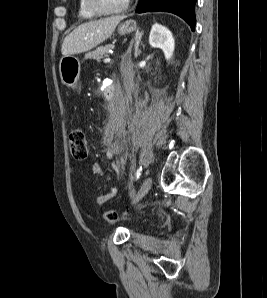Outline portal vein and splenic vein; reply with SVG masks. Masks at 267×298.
I'll list each match as a JSON object with an SVG mask.
<instances>
[{"mask_svg":"<svg viewBox=\"0 0 267 298\" xmlns=\"http://www.w3.org/2000/svg\"><path fill=\"white\" fill-rule=\"evenodd\" d=\"M109 60H110V58H109V57H107V58H105V60H104V61H105V62H107V61H109Z\"/></svg>","mask_w":267,"mask_h":298,"instance_id":"1","label":"portal vein and splenic vein"}]
</instances>
